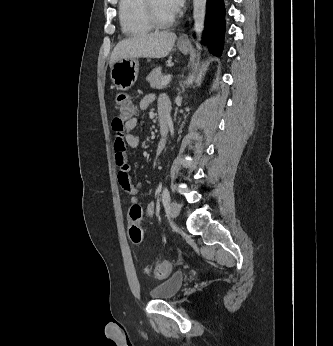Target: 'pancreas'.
<instances>
[{"label":"pancreas","instance_id":"obj_1","mask_svg":"<svg viewBox=\"0 0 333 346\" xmlns=\"http://www.w3.org/2000/svg\"><path fill=\"white\" fill-rule=\"evenodd\" d=\"M163 75L161 73V68L157 67L151 71V73L147 76V81L150 83L152 88L161 89Z\"/></svg>","mask_w":333,"mask_h":346}]
</instances>
